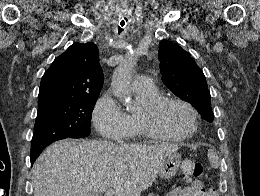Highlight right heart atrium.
<instances>
[{
  "mask_svg": "<svg viewBox=\"0 0 260 196\" xmlns=\"http://www.w3.org/2000/svg\"><path fill=\"white\" fill-rule=\"evenodd\" d=\"M92 121L101 135L92 143H115L118 130L129 129V115L121 108L111 92L103 93L92 110Z\"/></svg>",
  "mask_w": 260,
  "mask_h": 196,
  "instance_id": "1",
  "label": "right heart atrium"
}]
</instances>
